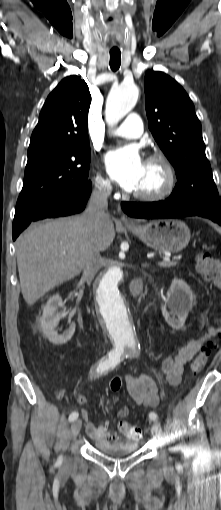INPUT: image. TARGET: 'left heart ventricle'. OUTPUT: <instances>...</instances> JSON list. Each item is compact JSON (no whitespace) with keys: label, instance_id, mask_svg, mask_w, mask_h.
Instances as JSON below:
<instances>
[{"label":"left heart ventricle","instance_id":"left-heart-ventricle-1","mask_svg":"<svg viewBox=\"0 0 221 510\" xmlns=\"http://www.w3.org/2000/svg\"><path fill=\"white\" fill-rule=\"evenodd\" d=\"M166 175L162 166L158 163H144V169L140 183L135 192L154 193L159 191L165 184Z\"/></svg>","mask_w":221,"mask_h":510}]
</instances>
